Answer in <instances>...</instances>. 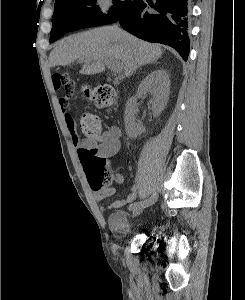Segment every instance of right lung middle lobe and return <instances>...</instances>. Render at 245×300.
I'll return each mask as SVG.
<instances>
[{
	"label": "right lung middle lobe",
	"instance_id": "right-lung-middle-lobe-1",
	"mask_svg": "<svg viewBox=\"0 0 245 300\" xmlns=\"http://www.w3.org/2000/svg\"><path fill=\"white\" fill-rule=\"evenodd\" d=\"M138 1L113 0L108 14H104L96 5V0H58L54 6L50 42L58 39L55 23L60 19L76 22L84 28L112 24L130 11Z\"/></svg>",
	"mask_w": 245,
	"mask_h": 300
}]
</instances>
